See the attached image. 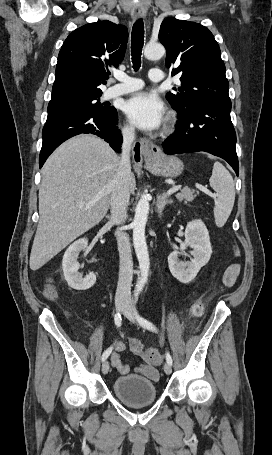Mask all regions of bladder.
<instances>
[{
    "label": "bladder",
    "mask_w": 272,
    "mask_h": 455,
    "mask_svg": "<svg viewBox=\"0 0 272 455\" xmlns=\"http://www.w3.org/2000/svg\"><path fill=\"white\" fill-rule=\"evenodd\" d=\"M113 391L121 402L132 407L152 404L157 398L154 382L137 374L118 377L114 381Z\"/></svg>",
    "instance_id": "bladder-1"
}]
</instances>
